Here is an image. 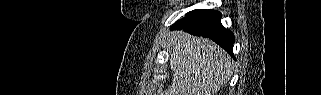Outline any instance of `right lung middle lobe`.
Returning <instances> with one entry per match:
<instances>
[{
    "label": "right lung middle lobe",
    "mask_w": 321,
    "mask_h": 95,
    "mask_svg": "<svg viewBox=\"0 0 321 95\" xmlns=\"http://www.w3.org/2000/svg\"><path fill=\"white\" fill-rule=\"evenodd\" d=\"M199 11H201V10H200V9L193 10V11H191V12H188V13L186 14V16H190V15H192V14H195V13L199 12Z\"/></svg>",
    "instance_id": "dd1d6c3e"
}]
</instances>
